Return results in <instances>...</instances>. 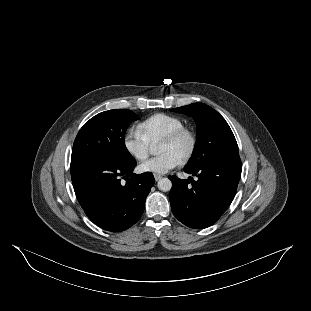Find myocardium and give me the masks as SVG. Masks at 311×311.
<instances>
[{"mask_svg":"<svg viewBox=\"0 0 311 311\" xmlns=\"http://www.w3.org/2000/svg\"><path fill=\"white\" fill-rule=\"evenodd\" d=\"M185 136L189 137L190 139V147L181 161L183 163H188L194 158L199 147V133L195 127L188 124L182 125L165 136L161 142L176 144Z\"/></svg>","mask_w":311,"mask_h":311,"instance_id":"myocardium-1","label":"myocardium"}]
</instances>
